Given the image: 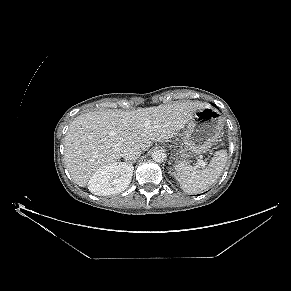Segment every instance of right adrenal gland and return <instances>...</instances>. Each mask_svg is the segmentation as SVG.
I'll return each mask as SVG.
<instances>
[{
  "mask_svg": "<svg viewBox=\"0 0 291 291\" xmlns=\"http://www.w3.org/2000/svg\"><path fill=\"white\" fill-rule=\"evenodd\" d=\"M135 162H136V161H133V162H131V164H132V163H135Z\"/></svg>",
  "mask_w": 291,
  "mask_h": 291,
  "instance_id": "right-adrenal-gland-1",
  "label": "right adrenal gland"
}]
</instances>
